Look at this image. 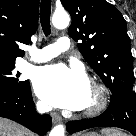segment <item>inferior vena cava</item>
<instances>
[{
  "label": "inferior vena cava",
  "instance_id": "602c4592",
  "mask_svg": "<svg viewBox=\"0 0 136 136\" xmlns=\"http://www.w3.org/2000/svg\"><path fill=\"white\" fill-rule=\"evenodd\" d=\"M37 110L39 113H46L51 110V107H49L48 105H45L43 103H38Z\"/></svg>",
  "mask_w": 136,
  "mask_h": 136
}]
</instances>
